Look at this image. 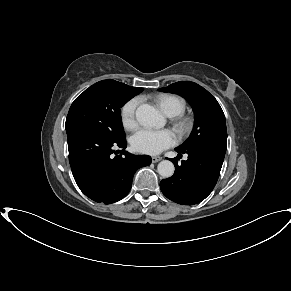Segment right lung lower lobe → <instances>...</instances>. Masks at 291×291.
Wrapping results in <instances>:
<instances>
[{
  "label": "right lung lower lobe",
  "mask_w": 291,
  "mask_h": 291,
  "mask_svg": "<svg viewBox=\"0 0 291 291\" xmlns=\"http://www.w3.org/2000/svg\"><path fill=\"white\" fill-rule=\"evenodd\" d=\"M69 162L80 190L98 203L111 204L125 197L137 169L148 166L151 157L128 152L114 156V148L125 149V139L109 141L85 131H67ZM116 153V152H115Z\"/></svg>",
  "instance_id": "right-lung-lower-lobe-1"
}]
</instances>
